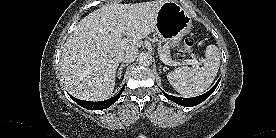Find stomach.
Returning a JSON list of instances; mask_svg holds the SVG:
<instances>
[{
	"instance_id": "stomach-1",
	"label": "stomach",
	"mask_w": 276,
	"mask_h": 138,
	"mask_svg": "<svg viewBox=\"0 0 276 138\" xmlns=\"http://www.w3.org/2000/svg\"><path fill=\"white\" fill-rule=\"evenodd\" d=\"M191 24V16L182 6L174 1H166L157 13L155 29L161 40L175 47L190 31Z\"/></svg>"
}]
</instances>
